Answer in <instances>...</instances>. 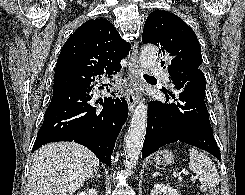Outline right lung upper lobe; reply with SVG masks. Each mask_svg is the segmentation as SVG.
<instances>
[{
    "label": "right lung upper lobe",
    "mask_w": 245,
    "mask_h": 195,
    "mask_svg": "<svg viewBox=\"0 0 245 195\" xmlns=\"http://www.w3.org/2000/svg\"><path fill=\"white\" fill-rule=\"evenodd\" d=\"M130 44L108 20L92 19L65 42L57 60L53 94L92 84L101 75L116 74Z\"/></svg>",
    "instance_id": "obj_1"
}]
</instances>
